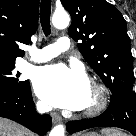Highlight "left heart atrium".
I'll return each instance as SVG.
<instances>
[{"label": "left heart atrium", "instance_id": "39dd6f15", "mask_svg": "<svg viewBox=\"0 0 136 136\" xmlns=\"http://www.w3.org/2000/svg\"><path fill=\"white\" fill-rule=\"evenodd\" d=\"M34 88L44 102L58 108L78 110L85 106L89 82L81 69L54 64L37 71Z\"/></svg>", "mask_w": 136, "mask_h": 136}]
</instances>
